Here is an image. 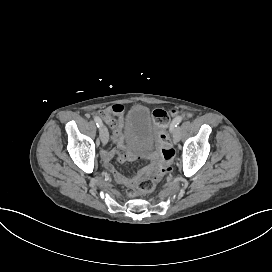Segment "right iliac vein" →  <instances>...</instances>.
Segmentation results:
<instances>
[{
	"label": "right iliac vein",
	"mask_w": 272,
	"mask_h": 272,
	"mask_svg": "<svg viewBox=\"0 0 272 272\" xmlns=\"http://www.w3.org/2000/svg\"><path fill=\"white\" fill-rule=\"evenodd\" d=\"M99 133L103 145H106L108 143V130L105 125L100 127Z\"/></svg>",
	"instance_id": "obj_1"
}]
</instances>
